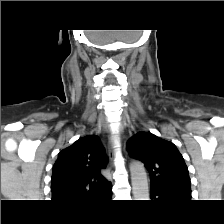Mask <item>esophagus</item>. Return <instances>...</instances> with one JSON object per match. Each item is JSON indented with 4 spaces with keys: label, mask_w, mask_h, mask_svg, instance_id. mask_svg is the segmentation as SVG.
Returning a JSON list of instances; mask_svg holds the SVG:
<instances>
[{
    "label": "esophagus",
    "mask_w": 224,
    "mask_h": 224,
    "mask_svg": "<svg viewBox=\"0 0 224 224\" xmlns=\"http://www.w3.org/2000/svg\"><path fill=\"white\" fill-rule=\"evenodd\" d=\"M111 142V141H110ZM111 144V143H110ZM114 158V152L112 150V147H110V159L113 160Z\"/></svg>",
    "instance_id": "esophagus-1"
}]
</instances>
